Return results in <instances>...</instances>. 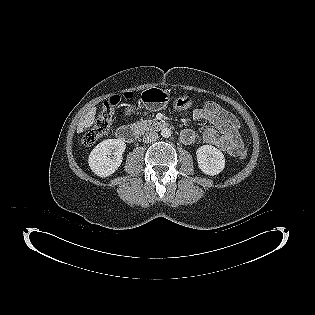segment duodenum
<instances>
[{
  "mask_svg": "<svg viewBox=\"0 0 315 315\" xmlns=\"http://www.w3.org/2000/svg\"><path fill=\"white\" fill-rule=\"evenodd\" d=\"M168 127L169 124L163 121H147L137 126H121L116 130V136L121 141L132 143L142 131L162 130Z\"/></svg>",
  "mask_w": 315,
  "mask_h": 315,
  "instance_id": "1",
  "label": "duodenum"
}]
</instances>
